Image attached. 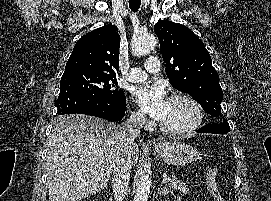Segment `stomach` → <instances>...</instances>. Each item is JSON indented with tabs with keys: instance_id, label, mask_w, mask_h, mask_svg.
<instances>
[{
	"instance_id": "stomach-1",
	"label": "stomach",
	"mask_w": 271,
	"mask_h": 201,
	"mask_svg": "<svg viewBox=\"0 0 271 201\" xmlns=\"http://www.w3.org/2000/svg\"><path fill=\"white\" fill-rule=\"evenodd\" d=\"M153 150L164 162L173 166L189 165L200 157L196 148L178 141L163 142L159 146L153 145Z\"/></svg>"
}]
</instances>
